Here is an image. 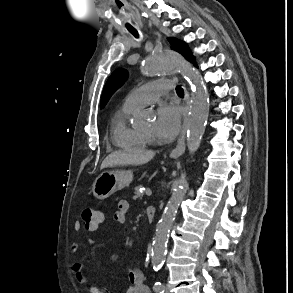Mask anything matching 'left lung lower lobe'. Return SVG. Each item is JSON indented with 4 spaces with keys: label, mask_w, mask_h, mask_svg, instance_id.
<instances>
[{
    "label": "left lung lower lobe",
    "mask_w": 293,
    "mask_h": 293,
    "mask_svg": "<svg viewBox=\"0 0 293 293\" xmlns=\"http://www.w3.org/2000/svg\"><path fill=\"white\" fill-rule=\"evenodd\" d=\"M190 61L193 62L194 65H196L194 57Z\"/></svg>",
    "instance_id": "obj_1"
}]
</instances>
